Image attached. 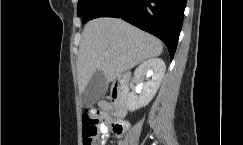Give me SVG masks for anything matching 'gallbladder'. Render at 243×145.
<instances>
[{
  "instance_id": "bac80fb5",
  "label": "gallbladder",
  "mask_w": 243,
  "mask_h": 145,
  "mask_svg": "<svg viewBox=\"0 0 243 145\" xmlns=\"http://www.w3.org/2000/svg\"><path fill=\"white\" fill-rule=\"evenodd\" d=\"M107 90V80L102 71H96L91 77L85 90L81 95V102L84 107L92 105L102 98Z\"/></svg>"
}]
</instances>
